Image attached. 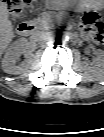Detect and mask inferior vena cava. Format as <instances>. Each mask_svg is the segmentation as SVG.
I'll return each mask as SVG.
<instances>
[{
    "label": "inferior vena cava",
    "instance_id": "1",
    "mask_svg": "<svg viewBox=\"0 0 104 137\" xmlns=\"http://www.w3.org/2000/svg\"><path fill=\"white\" fill-rule=\"evenodd\" d=\"M33 40L38 41V40H42L44 38H46V34L42 31H36L33 36H32Z\"/></svg>",
    "mask_w": 104,
    "mask_h": 137
}]
</instances>
